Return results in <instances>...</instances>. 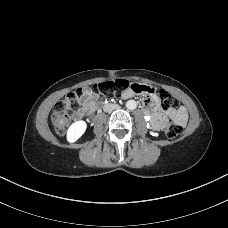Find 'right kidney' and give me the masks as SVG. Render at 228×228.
Wrapping results in <instances>:
<instances>
[{
	"label": "right kidney",
	"mask_w": 228,
	"mask_h": 228,
	"mask_svg": "<svg viewBox=\"0 0 228 228\" xmlns=\"http://www.w3.org/2000/svg\"><path fill=\"white\" fill-rule=\"evenodd\" d=\"M87 124L85 121L80 120L74 122L67 131V140L70 143L77 141L86 131Z\"/></svg>",
	"instance_id": "ca27d5eb"
}]
</instances>
